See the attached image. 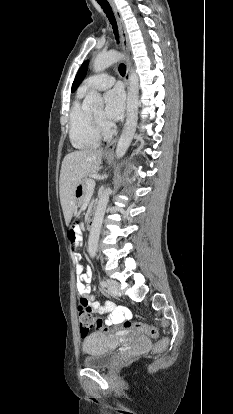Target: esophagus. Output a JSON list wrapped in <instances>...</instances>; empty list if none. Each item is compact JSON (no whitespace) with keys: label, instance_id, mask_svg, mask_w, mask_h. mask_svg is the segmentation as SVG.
Instances as JSON below:
<instances>
[{"label":"esophagus","instance_id":"obj_1","mask_svg":"<svg viewBox=\"0 0 233 414\" xmlns=\"http://www.w3.org/2000/svg\"><path fill=\"white\" fill-rule=\"evenodd\" d=\"M109 1H110L112 9L114 11V14H115L118 26H119L123 51L126 54L127 58L129 59L130 55H131V48H130V43H129V38H128L127 31H126L125 23L123 21V18H122V15H121L120 11L117 9L115 4L112 2V0H109ZM129 80H130V72H129V66L127 65L126 75H125V89H126L127 92H128V89H129ZM116 142H117V139H114L106 147V149L104 151V153L106 155H112L113 154Z\"/></svg>","mask_w":233,"mask_h":414}]
</instances>
